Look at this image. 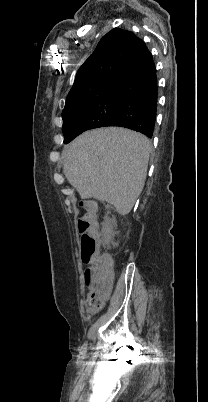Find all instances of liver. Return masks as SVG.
I'll use <instances>...</instances> for the list:
<instances>
[{"label":"liver","instance_id":"obj_1","mask_svg":"<svg viewBox=\"0 0 208 402\" xmlns=\"http://www.w3.org/2000/svg\"><path fill=\"white\" fill-rule=\"evenodd\" d=\"M149 140L125 128L84 132L63 150V172L83 200L113 204L120 216L131 212L145 184Z\"/></svg>","mask_w":208,"mask_h":402}]
</instances>
